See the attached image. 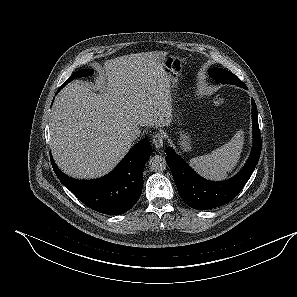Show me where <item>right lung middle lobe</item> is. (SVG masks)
Here are the masks:
<instances>
[{
	"label": "right lung middle lobe",
	"instance_id": "dd1d6c3e",
	"mask_svg": "<svg viewBox=\"0 0 297 297\" xmlns=\"http://www.w3.org/2000/svg\"><path fill=\"white\" fill-rule=\"evenodd\" d=\"M94 73L93 70H90V69H82V70H79L75 73H73L71 75V77L63 84L66 85L68 82H71L72 80H74L75 78H80V77H87V76H90Z\"/></svg>",
	"mask_w": 297,
	"mask_h": 297
}]
</instances>
